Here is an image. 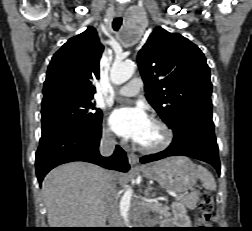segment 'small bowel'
<instances>
[{"label":"small bowel","instance_id":"small-bowel-1","mask_svg":"<svg viewBox=\"0 0 252 231\" xmlns=\"http://www.w3.org/2000/svg\"><path fill=\"white\" fill-rule=\"evenodd\" d=\"M201 220H200V218L197 220V222H200Z\"/></svg>","mask_w":252,"mask_h":231}]
</instances>
